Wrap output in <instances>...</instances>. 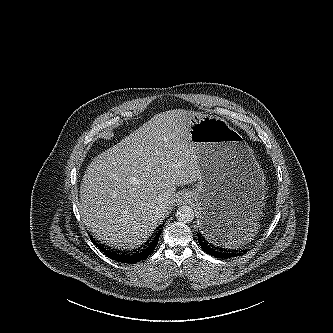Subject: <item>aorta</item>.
<instances>
[{
	"label": "aorta",
	"mask_w": 333,
	"mask_h": 333,
	"mask_svg": "<svg viewBox=\"0 0 333 333\" xmlns=\"http://www.w3.org/2000/svg\"><path fill=\"white\" fill-rule=\"evenodd\" d=\"M176 218L183 223H190L194 219V210L187 205L180 206L176 211Z\"/></svg>",
	"instance_id": "aorta-1"
}]
</instances>
